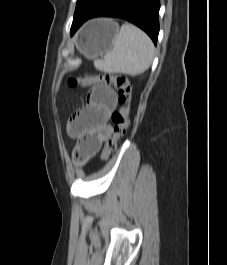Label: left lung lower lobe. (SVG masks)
<instances>
[{
    "label": "left lung lower lobe",
    "instance_id": "0a47b994",
    "mask_svg": "<svg viewBox=\"0 0 227 265\" xmlns=\"http://www.w3.org/2000/svg\"><path fill=\"white\" fill-rule=\"evenodd\" d=\"M159 8V0H105L89 17L72 25L71 35L88 19L100 16L118 17L143 29L156 44Z\"/></svg>",
    "mask_w": 227,
    "mask_h": 265
}]
</instances>
